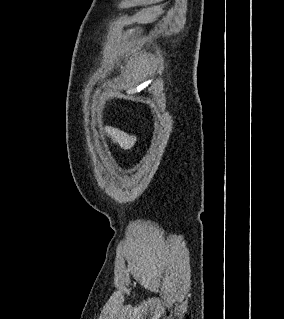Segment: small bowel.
<instances>
[{
  "mask_svg": "<svg viewBox=\"0 0 284 319\" xmlns=\"http://www.w3.org/2000/svg\"><path fill=\"white\" fill-rule=\"evenodd\" d=\"M106 132L113 143L124 149L131 148L136 141V137L134 135L128 134L116 128L109 127L106 129Z\"/></svg>",
  "mask_w": 284,
  "mask_h": 319,
  "instance_id": "c3829d8e",
  "label": "small bowel"
}]
</instances>
